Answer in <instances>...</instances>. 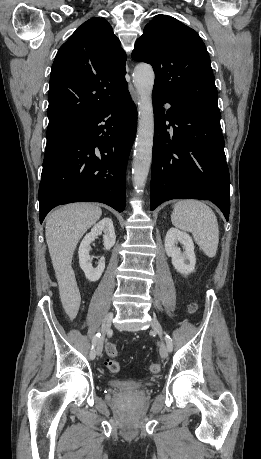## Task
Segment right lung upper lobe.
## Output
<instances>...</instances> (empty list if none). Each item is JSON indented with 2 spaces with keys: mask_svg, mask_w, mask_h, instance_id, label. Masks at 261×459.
Segmentation results:
<instances>
[{
  "mask_svg": "<svg viewBox=\"0 0 261 459\" xmlns=\"http://www.w3.org/2000/svg\"><path fill=\"white\" fill-rule=\"evenodd\" d=\"M126 54L110 24L83 23L60 47L52 65L48 126L83 123L128 89Z\"/></svg>",
  "mask_w": 261,
  "mask_h": 459,
  "instance_id": "cb5924a9",
  "label": "right lung upper lobe"
}]
</instances>
